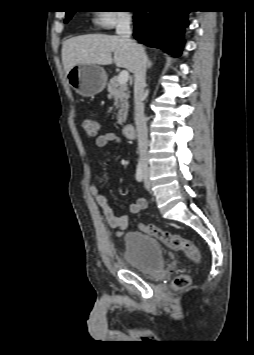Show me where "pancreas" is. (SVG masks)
<instances>
[{"instance_id":"obj_1","label":"pancreas","mask_w":254,"mask_h":355,"mask_svg":"<svg viewBox=\"0 0 254 355\" xmlns=\"http://www.w3.org/2000/svg\"><path fill=\"white\" fill-rule=\"evenodd\" d=\"M107 90L109 92V98L114 99L115 106L119 109L117 114V124L123 125L126 122L130 97L128 86L126 84L120 85L118 83V77H113L108 83Z\"/></svg>"}]
</instances>
